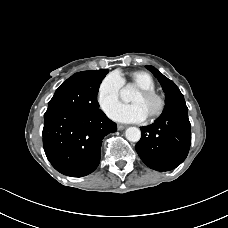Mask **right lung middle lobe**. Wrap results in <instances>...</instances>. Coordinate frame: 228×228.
<instances>
[{
    "mask_svg": "<svg viewBox=\"0 0 228 228\" xmlns=\"http://www.w3.org/2000/svg\"><path fill=\"white\" fill-rule=\"evenodd\" d=\"M109 71L95 70L75 73L55 92L48 109L93 112L99 109L97 94L101 81Z\"/></svg>",
    "mask_w": 228,
    "mask_h": 228,
    "instance_id": "1",
    "label": "right lung middle lobe"
}]
</instances>
